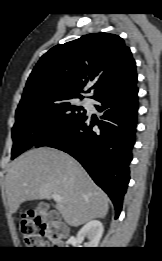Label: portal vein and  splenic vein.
Listing matches in <instances>:
<instances>
[{"label":"portal vein and splenic vein","mask_w":162,"mask_h":261,"mask_svg":"<svg viewBox=\"0 0 162 261\" xmlns=\"http://www.w3.org/2000/svg\"><path fill=\"white\" fill-rule=\"evenodd\" d=\"M52 198L55 200V201H61V196L59 194H53L52 195Z\"/></svg>","instance_id":"18ae733b"}]
</instances>
